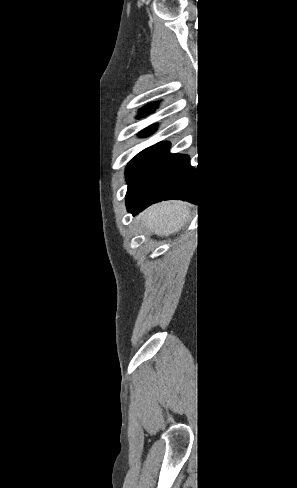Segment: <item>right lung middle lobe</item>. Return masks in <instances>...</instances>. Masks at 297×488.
<instances>
[{"mask_svg":"<svg viewBox=\"0 0 297 488\" xmlns=\"http://www.w3.org/2000/svg\"><path fill=\"white\" fill-rule=\"evenodd\" d=\"M151 133H141V136H147ZM169 142H160L152 147L140 152L126 168V179L128 182V191L126 197L131 193L134 187L142 179L144 174L149 170L155 160L165 152L169 147Z\"/></svg>","mask_w":297,"mask_h":488,"instance_id":"1","label":"right lung middle lobe"}]
</instances>
